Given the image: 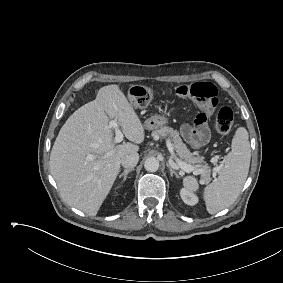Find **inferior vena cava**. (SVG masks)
Returning a JSON list of instances; mask_svg holds the SVG:
<instances>
[{
    "mask_svg": "<svg viewBox=\"0 0 283 283\" xmlns=\"http://www.w3.org/2000/svg\"><path fill=\"white\" fill-rule=\"evenodd\" d=\"M139 160V154L137 152H133L130 154L125 155L122 159H121V164L124 168H133L137 165Z\"/></svg>",
    "mask_w": 283,
    "mask_h": 283,
    "instance_id": "obj_1",
    "label": "inferior vena cava"
}]
</instances>
